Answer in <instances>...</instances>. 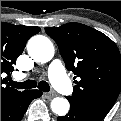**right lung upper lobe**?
I'll return each mask as SVG.
<instances>
[{
    "label": "right lung upper lobe",
    "mask_w": 121,
    "mask_h": 121,
    "mask_svg": "<svg viewBox=\"0 0 121 121\" xmlns=\"http://www.w3.org/2000/svg\"><path fill=\"white\" fill-rule=\"evenodd\" d=\"M39 31L40 28L35 26L1 23V74L12 71V65L23 52L28 39ZM5 83L6 78L1 77V105L20 92L9 86L4 87Z\"/></svg>",
    "instance_id": "obj_1"
}]
</instances>
